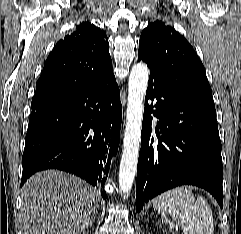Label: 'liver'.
<instances>
[{
	"instance_id": "1",
	"label": "liver",
	"mask_w": 241,
	"mask_h": 234,
	"mask_svg": "<svg viewBox=\"0 0 241 234\" xmlns=\"http://www.w3.org/2000/svg\"><path fill=\"white\" fill-rule=\"evenodd\" d=\"M21 198L24 234H80L95 219L100 202L95 188L58 170L30 177Z\"/></svg>"
}]
</instances>
